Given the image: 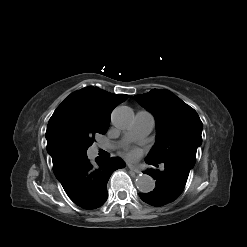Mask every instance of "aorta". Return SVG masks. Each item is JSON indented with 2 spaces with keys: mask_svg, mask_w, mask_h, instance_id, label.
I'll return each mask as SVG.
<instances>
[{
  "mask_svg": "<svg viewBox=\"0 0 247 247\" xmlns=\"http://www.w3.org/2000/svg\"><path fill=\"white\" fill-rule=\"evenodd\" d=\"M134 114L131 108L127 106L116 107L112 112L113 124L121 129L129 127L133 122ZM135 185L140 192H151L155 187V181L147 174L136 177Z\"/></svg>",
  "mask_w": 247,
  "mask_h": 247,
  "instance_id": "1",
  "label": "aorta"
}]
</instances>
